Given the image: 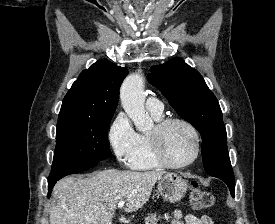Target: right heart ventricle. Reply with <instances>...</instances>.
Returning a JSON list of instances; mask_svg holds the SVG:
<instances>
[{"instance_id": "obj_1", "label": "right heart ventricle", "mask_w": 275, "mask_h": 224, "mask_svg": "<svg viewBox=\"0 0 275 224\" xmlns=\"http://www.w3.org/2000/svg\"><path fill=\"white\" fill-rule=\"evenodd\" d=\"M150 114L155 121H159L163 118L162 113L157 114L150 112ZM128 165L130 168L135 170H154L161 168V166L155 162L152 156L148 144L147 134H138L137 146L135 151L128 160Z\"/></svg>"}]
</instances>
